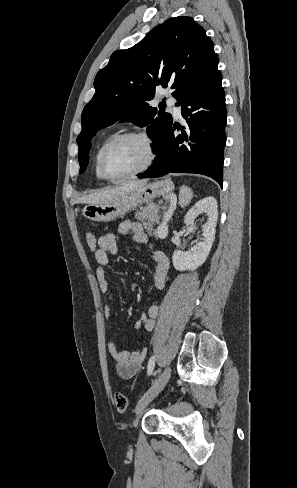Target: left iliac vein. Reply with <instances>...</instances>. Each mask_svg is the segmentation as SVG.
<instances>
[{
    "label": "left iliac vein",
    "mask_w": 297,
    "mask_h": 488,
    "mask_svg": "<svg viewBox=\"0 0 297 488\" xmlns=\"http://www.w3.org/2000/svg\"><path fill=\"white\" fill-rule=\"evenodd\" d=\"M171 375V368L166 367L165 370L161 373L159 378L154 381L151 387L144 393V395L138 401L135 413L136 415H140L142 411L148 406V404L163 390L170 379Z\"/></svg>",
    "instance_id": "4c4485c4"
}]
</instances>
